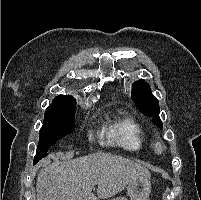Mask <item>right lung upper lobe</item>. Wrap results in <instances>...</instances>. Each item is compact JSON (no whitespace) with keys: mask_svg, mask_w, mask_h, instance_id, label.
Segmentation results:
<instances>
[{"mask_svg":"<svg viewBox=\"0 0 201 200\" xmlns=\"http://www.w3.org/2000/svg\"><path fill=\"white\" fill-rule=\"evenodd\" d=\"M75 99L72 96L59 95L54 98L53 102H74Z\"/></svg>","mask_w":201,"mask_h":200,"instance_id":"right-lung-upper-lobe-1","label":"right lung upper lobe"}]
</instances>
